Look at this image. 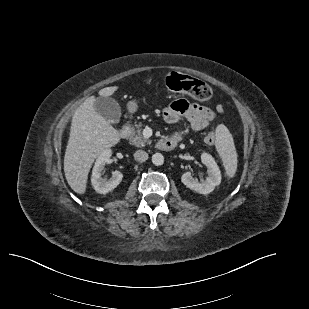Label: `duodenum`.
Segmentation results:
<instances>
[{"label": "duodenum", "instance_id": "obj_1", "mask_svg": "<svg viewBox=\"0 0 309 309\" xmlns=\"http://www.w3.org/2000/svg\"><path fill=\"white\" fill-rule=\"evenodd\" d=\"M129 132L130 130L128 126L123 127L119 132L120 138L126 139ZM177 142L178 140L175 138H164L157 142L156 147L161 151H170L176 147Z\"/></svg>", "mask_w": 309, "mask_h": 309}]
</instances>
